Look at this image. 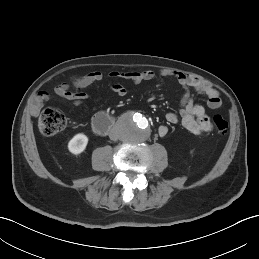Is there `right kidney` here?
Wrapping results in <instances>:
<instances>
[{"mask_svg":"<svg viewBox=\"0 0 259 259\" xmlns=\"http://www.w3.org/2000/svg\"><path fill=\"white\" fill-rule=\"evenodd\" d=\"M88 144V137L79 133L76 134L68 143V149L72 154H80L82 153Z\"/></svg>","mask_w":259,"mask_h":259,"instance_id":"1","label":"right kidney"}]
</instances>
